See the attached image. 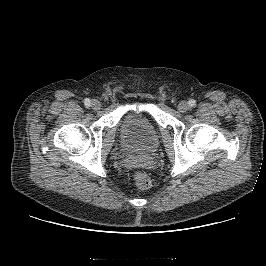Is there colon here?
Wrapping results in <instances>:
<instances>
[{
	"label": "colon",
	"mask_w": 266,
	"mask_h": 266,
	"mask_svg": "<svg viewBox=\"0 0 266 266\" xmlns=\"http://www.w3.org/2000/svg\"><path fill=\"white\" fill-rule=\"evenodd\" d=\"M133 179H134L135 185L139 189L145 190L151 186V179L145 172H142V171L135 172Z\"/></svg>",
	"instance_id": "obj_1"
}]
</instances>
